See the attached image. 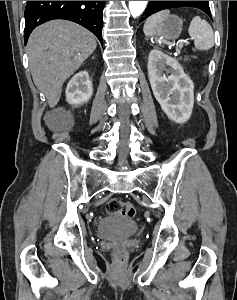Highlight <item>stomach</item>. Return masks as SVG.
<instances>
[{"instance_id":"stomach-1","label":"stomach","mask_w":237,"mask_h":300,"mask_svg":"<svg viewBox=\"0 0 237 300\" xmlns=\"http://www.w3.org/2000/svg\"><path fill=\"white\" fill-rule=\"evenodd\" d=\"M183 27V21L177 15H169L161 25H158L152 37H162V39H177Z\"/></svg>"}]
</instances>
